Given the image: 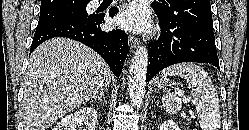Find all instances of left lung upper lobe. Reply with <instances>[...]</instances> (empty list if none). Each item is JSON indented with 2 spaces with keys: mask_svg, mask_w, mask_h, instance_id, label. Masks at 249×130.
<instances>
[{
  "mask_svg": "<svg viewBox=\"0 0 249 130\" xmlns=\"http://www.w3.org/2000/svg\"><path fill=\"white\" fill-rule=\"evenodd\" d=\"M151 6L159 18L213 30L210 0H166Z\"/></svg>",
  "mask_w": 249,
  "mask_h": 130,
  "instance_id": "left-lung-upper-lobe-1",
  "label": "left lung upper lobe"
}]
</instances>
